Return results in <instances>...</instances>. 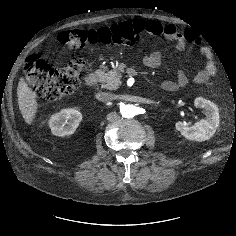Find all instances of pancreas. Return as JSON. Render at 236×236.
Masks as SVG:
<instances>
[{"label": "pancreas", "mask_w": 236, "mask_h": 236, "mask_svg": "<svg viewBox=\"0 0 236 236\" xmlns=\"http://www.w3.org/2000/svg\"><path fill=\"white\" fill-rule=\"evenodd\" d=\"M127 66L125 64H119L116 69L108 72L102 71L99 76V80L102 83V88L109 90H115L121 85L122 73L125 71Z\"/></svg>", "instance_id": "obj_1"}]
</instances>
